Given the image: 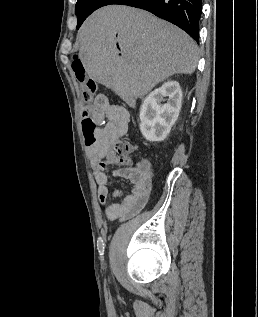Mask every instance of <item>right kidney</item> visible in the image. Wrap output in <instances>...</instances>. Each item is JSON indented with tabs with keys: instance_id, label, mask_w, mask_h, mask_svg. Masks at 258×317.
Returning <instances> with one entry per match:
<instances>
[{
	"instance_id": "1",
	"label": "right kidney",
	"mask_w": 258,
	"mask_h": 317,
	"mask_svg": "<svg viewBox=\"0 0 258 317\" xmlns=\"http://www.w3.org/2000/svg\"><path fill=\"white\" fill-rule=\"evenodd\" d=\"M168 96V98H164ZM163 100H168L161 104ZM182 90L177 80H167L144 98L140 108V130L147 140H164L178 118Z\"/></svg>"
}]
</instances>
